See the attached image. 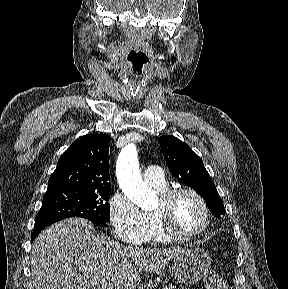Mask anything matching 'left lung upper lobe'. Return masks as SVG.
<instances>
[{
    "instance_id": "obj_1",
    "label": "left lung upper lobe",
    "mask_w": 288,
    "mask_h": 289,
    "mask_svg": "<svg viewBox=\"0 0 288 289\" xmlns=\"http://www.w3.org/2000/svg\"><path fill=\"white\" fill-rule=\"evenodd\" d=\"M159 144L173 175L181 183L192 187L199 193L215 217L224 215L223 201L205 169L202 159L186 143L174 136L160 137Z\"/></svg>"
}]
</instances>
